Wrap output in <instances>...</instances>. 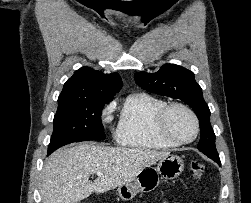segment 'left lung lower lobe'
<instances>
[{
    "label": "left lung lower lobe",
    "mask_w": 251,
    "mask_h": 203,
    "mask_svg": "<svg viewBox=\"0 0 251 203\" xmlns=\"http://www.w3.org/2000/svg\"><path fill=\"white\" fill-rule=\"evenodd\" d=\"M214 161H216L217 163H220V160H219V159H215Z\"/></svg>",
    "instance_id": "left-lung-lower-lobe-1"
}]
</instances>
